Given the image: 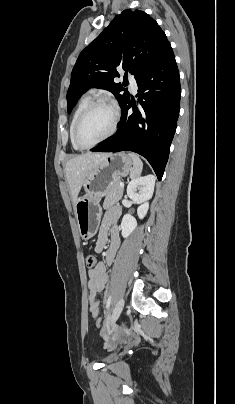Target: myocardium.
I'll return each mask as SVG.
<instances>
[{"mask_svg":"<svg viewBox=\"0 0 235 404\" xmlns=\"http://www.w3.org/2000/svg\"><path fill=\"white\" fill-rule=\"evenodd\" d=\"M98 106H107L109 108L112 109L113 111V122H112V126L110 128V130L108 131V133L103 136L101 139H99L98 141L92 143V144H83L79 138V130H80V126L84 120V118L87 116V114L94 109L95 107ZM119 118H120V113L119 110L117 108L116 105H114L113 103L109 102L106 99H96L91 101L80 113V115L78 116L76 123H75V127H74V132H73V138L75 143L77 144L78 147L82 148V149H91L95 146H97L98 144L108 140L110 137H112L114 135V133L117 130V126H118V122H119Z\"/></svg>","mask_w":235,"mask_h":404,"instance_id":"myocardium-1","label":"myocardium"}]
</instances>
